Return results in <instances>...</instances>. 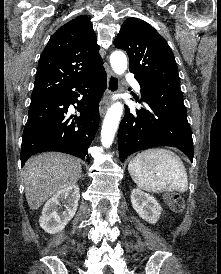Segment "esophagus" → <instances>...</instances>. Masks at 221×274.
<instances>
[{
  "label": "esophagus",
  "mask_w": 221,
  "mask_h": 274,
  "mask_svg": "<svg viewBox=\"0 0 221 274\" xmlns=\"http://www.w3.org/2000/svg\"><path fill=\"white\" fill-rule=\"evenodd\" d=\"M120 83L118 77L110 71L107 75V88L100 103L99 112L103 116L111 104V96L118 92Z\"/></svg>",
  "instance_id": "esophagus-1"
}]
</instances>
